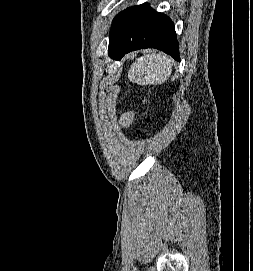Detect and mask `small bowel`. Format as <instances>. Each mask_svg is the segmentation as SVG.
Instances as JSON below:
<instances>
[{
	"instance_id": "c3829d8e",
	"label": "small bowel",
	"mask_w": 253,
	"mask_h": 271,
	"mask_svg": "<svg viewBox=\"0 0 253 271\" xmlns=\"http://www.w3.org/2000/svg\"><path fill=\"white\" fill-rule=\"evenodd\" d=\"M135 120V115L132 112L125 113L121 118V125L128 128Z\"/></svg>"
}]
</instances>
